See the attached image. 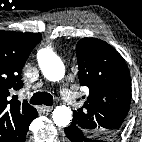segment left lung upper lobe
Segmentation results:
<instances>
[{"instance_id":"obj_1","label":"left lung upper lobe","mask_w":142,"mask_h":142,"mask_svg":"<svg viewBox=\"0 0 142 142\" xmlns=\"http://www.w3.org/2000/svg\"><path fill=\"white\" fill-rule=\"evenodd\" d=\"M76 52L78 79L89 88V96L82 108L73 111L72 123L93 138H113L130 107L128 67L112 46L97 38L81 39Z\"/></svg>"}]
</instances>
